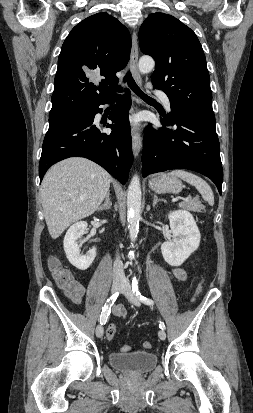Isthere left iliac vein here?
<instances>
[{"mask_svg": "<svg viewBox=\"0 0 253 413\" xmlns=\"http://www.w3.org/2000/svg\"><path fill=\"white\" fill-rule=\"evenodd\" d=\"M121 292L125 295V297L128 299V301L132 304H134L135 306H140V301L139 299L136 297V295L133 293L132 288L130 283L125 279L122 283L121 286ZM158 336L161 340H165L166 339V333L164 330H159L158 332Z\"/></svg>", "mask_w": 253, "mask_h": 413, "instance_id": "1", "label": "left iliac vein"}]
</instances>
